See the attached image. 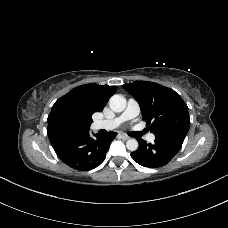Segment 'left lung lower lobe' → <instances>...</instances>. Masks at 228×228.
<instances>
[{"label": "left lung lower lobe", "instance_id": "0a47b994", "mask_svg": "<svg viewBox=\"0 0 228 228\" xmlns=\"http://www.w3.org/2000/svg\"><path fill=\"white\" fill-rule=\"evenodd\" d=\"M184 139L178 135L156 136L154 144L139 139V148L131 153V157L144 167H162L179 152Z\"/></svg>", "mask_w": 228, "mask_h": 228}]
</instances>
